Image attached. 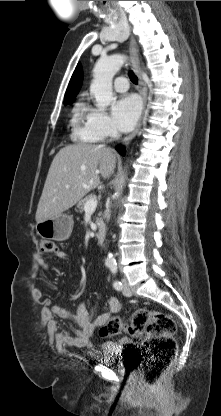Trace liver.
<instances>
[{
    "instance_id": "obj_1",
    "label": "liver",
    "mask_w": 221,
    "mask_h": 416,
    "mask_svg": "<svg viewBox=\"0 0 221 416\" xmlns=\"http://www.w3.org/2000/svg\"><path fill=\"white\" fill-rule=\"evenodd\" d=\"M116 154L103 145L72 144L53 158L40 197L36 222L52 219L79 202L116 168Z\"/></svg>"
}]
</instances>
